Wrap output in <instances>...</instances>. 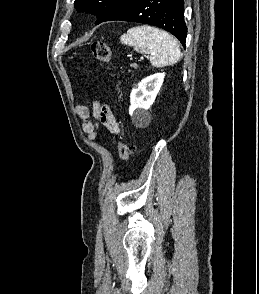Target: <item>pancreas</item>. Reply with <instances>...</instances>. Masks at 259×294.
<instances>
[{"mask_svg": "<svg viewBox=\"0 0 259 294\" xmlns=\"http://www.w3.org/2000/svg\"><path fill=\"white\" fill-rule=\"evenodd\" d=\"M131 67H132V68H138V65H137L136 63H132V64H131Z\"/></svg>", "mask_w": 259, "mask_h": 294, "instance_id": "cf45deb5", "label": "pancreas"}]
</instances>
